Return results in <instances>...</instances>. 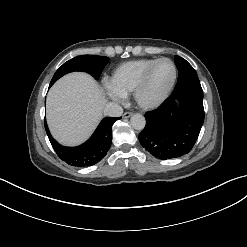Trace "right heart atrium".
I'll return each instance as SVG.
<instances>
[{"instance_id": "1", "label": "right heart atrium", "mask_w": 247, "mask_h": 247, "mask_svg": "<svg viewBox=\"0 0 247 247\" xmlns=\"http://www.w3.org/2000/svg\"><path fill=\"white\" fill-rule=\"evenodd\" d=\"M106 90L108 95L116 100H122L124 95L121 94L119 91H117L115 88H113L110 84L106 85Z\"/></svg>"}]
</instances>
